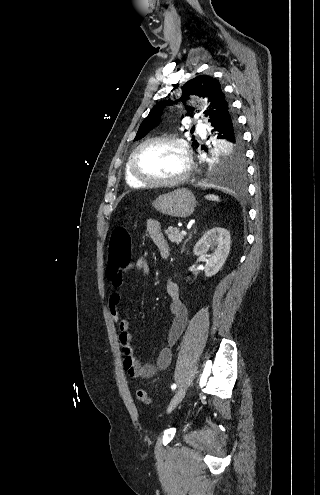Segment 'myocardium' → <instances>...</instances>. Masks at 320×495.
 I'll use <instances>...</instances> for the list:
<instances>
[{"mask_svg": "<svg viewBox=\"0 0 320 495\" xmlns=\"http://www.w3.org/2000/svg\"><path fill=\"white\" fill-rule=\"evenodd\" d=\"M155 142H169L174 144L181 151L184 158V168L182 172L172 179H152L142 175L136 165L137 155L145 146ZM192 169V158L187 143L175 136L159 135L148 138L141 142L131 153L129 157V170L132 176L139 182L147 186H175L186 180Z\"/></svg>", "mask_w": 320, "mask_h": 495, "instance_id": "obj_1", "label": "myocardium"}]
</instances>
